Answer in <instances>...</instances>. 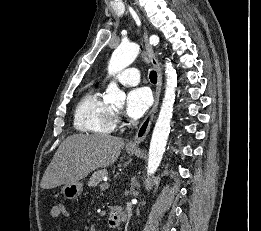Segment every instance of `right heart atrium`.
I'll return each mask as SVG.
<instances>
[{
    "label": "right heart atrium",
    "instance_id": "obj_1",
    "mask_svg": "<svg viewBox=\"0 0 261 231\" xmlns=\"http://www.w3.org/2000/svg\"><path fill=\"white\" fill-rule=\"evenodd\" d=\"M117 119H119L118 115L115 116Z\"/></svg>",
    "mask_w": 261,
    "mask_h": 231
}]
</instances>
